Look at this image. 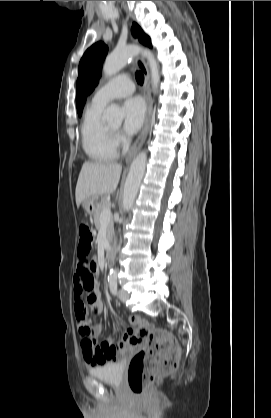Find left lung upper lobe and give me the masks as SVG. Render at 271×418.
Wrapping results in <instances>:
<instances>
[{
	"label": "left lung upper lobe",
	"mask_w": 271,
	"mask_h": 418,
	"mask_svg": "<svg viewBox=\"0 0 271 418\" xmlns=\"http://www.w3.org/2000/svg\"><path fill=\"white\" fill-rule=\"evenodd\" d=\"M132 33L135 37H138L141 43L151 47L150 38L136 23L133 24ZM107 51L108 48L103 42H97L87 49L79 63L76 84V105L79 116L82 114L87 95L93 91L98 83Z\"/></svg>",
	"instance_id": "1"
}]
</instances>
